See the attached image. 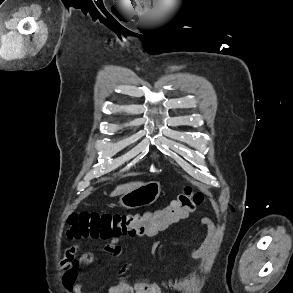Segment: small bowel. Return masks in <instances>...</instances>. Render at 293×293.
Returning a JSON list of instances; mask_svg holds the SVG:
<instances>
[{
  "label": "small bowel",
  "mask_w": 293,
  "mask_h": 293,
  "mask_svg": "<svg viewBox=\"0 0 293 293\" xmlns=\"http://www.w3.org/2000/svg\"><path fill=\"white\" fill-rule=\"evenodd\" d=\"M201 224L206 228L207 232L200 245L195 247L191 252V258L195 261H199L205 257L217 234V228L211 218H201ZM166 228L167 227L154 231L127 235L130 237H154ZM120 239L121 235H115L110 238L109 242L103 247V253L113 257L121 256L123 249L118 244ZM158 246V241L152 242L151 255L153 258L156 257ZM78 250V244H73L68 247L65 253V257L61 261L60 265L59 274L62 277L63 286L68 293H83V285L77 281L79 269L81 266L89 265L95 261V256L92 252H82L81 254L77 255ZM194 279V275H188L184 278L168 280L164 282L161 287L157 283L148 281L131 284L128 283L124 278H120L115 285L109 287L107 293H140V289L145 286L154 288L156 290L155 293H164L163 289H170L176 292H181L188 288L193 283Z\"/></svg>",
  "instance_id": "c3829d8e"
}]
</instances>
